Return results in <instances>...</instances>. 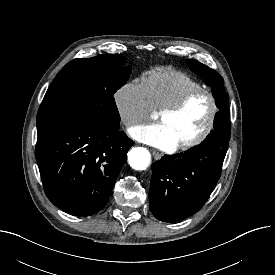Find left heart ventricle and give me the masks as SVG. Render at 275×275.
<instances>
[{
  "label": "left heart ventricle",
  "mask_w": 275,
  "mask_h": 275,
  "mask_svg": "<svg viewBox=\"0 0 275 275\" xmlns=\"http://www.w3.org/2000/svg\"><path fill=\"white\" fill-rule=\"evenodd\" d=\"M211 110L205 94L194 97L181 111L158 116L160 123L168 127L177 143L196 137L205 127Z\"/></svg>",
  "instance_id": "obj_1"
}]
</instances>
